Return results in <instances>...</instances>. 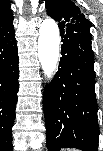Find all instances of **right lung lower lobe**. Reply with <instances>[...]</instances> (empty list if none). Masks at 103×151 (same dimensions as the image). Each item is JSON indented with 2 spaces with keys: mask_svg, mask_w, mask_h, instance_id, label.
I'll return each instance as SVG.
<instances>
[{
  "mask_svg": "<svg viewBox=\"0 0 103 151\" xmlns=\"http://www.w3.org/2000/svg\"><path fill=\"white\" fill-rule=\"evenodd\" d=\"M18 52L15 31L0 32V149L12 150V126L18 93Z\"/></svg>",
  "mask_w": 103,
  "mask_h": 151,
  "instance_id": "right-lung-lower-lobe-1",
  "label": "right lung lower lobe"
}]
</instances>
